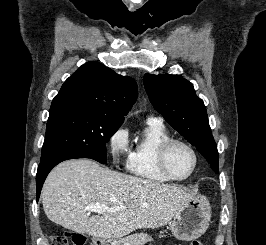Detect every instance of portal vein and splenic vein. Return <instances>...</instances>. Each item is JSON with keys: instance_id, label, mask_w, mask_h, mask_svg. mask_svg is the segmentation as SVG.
<instances>
[{"instance_id": "18ae733b", "label": "portal vein and splenic vein", "mask_w": 266, "mask_h": 245, "mask_svg": "<svg viewBox=\"0 0 266 245\" xmlns=\"http://www.w3.org/2000/svg\"><path fill=\"white\" fill-rule=\"evenodd\" d=\"M84 211H93V213H106V211H120V209H108L106 205H101V203H91V205L84 207ZM126 245H129V243H126Z\"/></svg>"}]
</instances>
